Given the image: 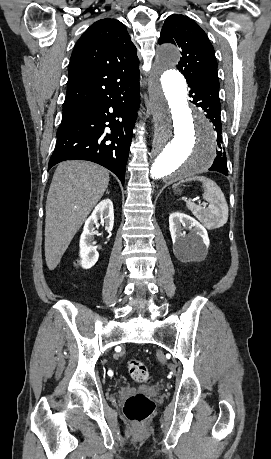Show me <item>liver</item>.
Listing matches in <instances>:
<instances>
[{
  "label": "liver",
  "mask_w": 271,
  "mask_h": 459,
  "mask_svg": "<svg viewBox=\"0 0 271 459\" xmlns=\"http://www.w3.org/2000/svg\"><path fill=\"white\" fill-rule=\"evenodd\" d=\"M108 184L109 172L93 162L72 160L56 168L46 202L45 259L49 269L57 267Z\"/></svg>",
  "instance_id": "obj_1"
}]
</instances>
